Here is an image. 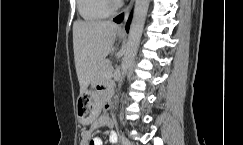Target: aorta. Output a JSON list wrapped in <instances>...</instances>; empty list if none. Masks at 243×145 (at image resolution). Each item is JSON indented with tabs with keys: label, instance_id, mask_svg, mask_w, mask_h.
<instances>
[{
	"label": "aorta",
	"instance_id": "762f6f07",
	"mask_svg": "<svg viewBox=\"0 0 243 145\" xmlns=\"http://www.w3.org/2000/svg\"><path fill=\"white\" fill-rule=\"evenodd\" d=\"M149 2L150 0L135 1L134 14L130 25L125 54L121 65V80L119 83V88H121L123 79L137 54L148 12Z\"/></svg>",
	"mask_w": 243,
	"mask_h": 145
}]
</instances>
